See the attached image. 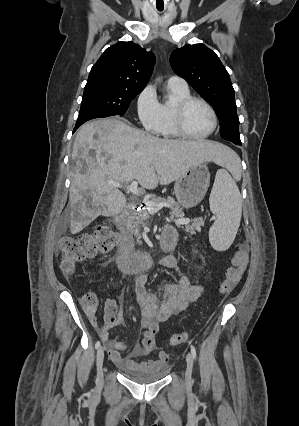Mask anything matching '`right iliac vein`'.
I'll list each match as a JSON object with an SVG mask.
<instances>
[{
	"label": "right iliac vein",
	"mask_w": 299,
	"mask_h": 426,
	"mask_svg": "<svg viewBox=\"0 0 299 426\" xmlns=\"http://www.w3.org/2000/svg\"><path fill=\"white\" fill-rule=\"evenodd\" d=\"M103 361H104V348L99 347L96 354L97 380L99 383H102L103 381Z\"/></svg>",
	"instance_id": "obj_1"
}]
</instances>
